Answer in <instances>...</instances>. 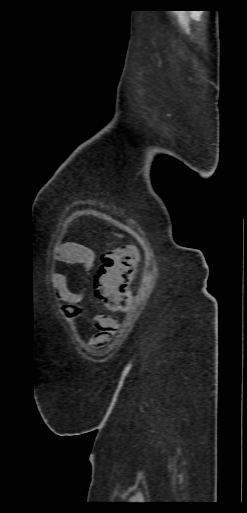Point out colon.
<instances>
[{"label":"colon","mask_w":247,"mask_h":513,"mask_svg":"<svg viewBox=\"0 0 247 513\" xmlns=\"http://www.w3.org/2000/svg\"><path fill=\"white\" fill-rule=\"evenodd\" d=\"M137 264V252L131 246H120L102 254L94 274L93 289L109 310L120 311L129 304Z\"/></svg>","instance_id":"5ec220e1"}]
</instances>
